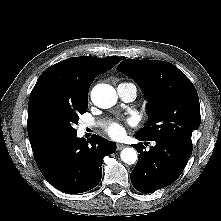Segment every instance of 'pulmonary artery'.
I'll return each mask as SVG.
<instances>
[{
    "label": "pulmonary artery",
    "instance_id": "pulmonary-artery-1",
    "mask_svg": "<svg viewBox=\"0 0 221 221\" xmlns=\"http://www.w3.org/2000/svg\"><path fill=\"white\" fill-rule=\"evenodd\" d=\"M117 92L119 97L125 102H131L136 98L137 89L134 84L131 83H121L117 87ZM93 124L85 123L83 128L91 127Z\"/></svg>",
    "mask_w": 221,
    "mask_h": 221
}]
</instances>
